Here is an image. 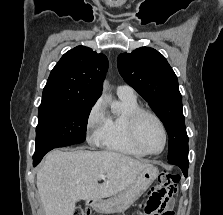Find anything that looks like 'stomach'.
<instances>
[{
  "mask_svg": "<svg viewBox=\"0 0 223 215\" xmlns=\"http://www.w3.org/2000/svg\"><path fill=\"white\" fill-rule=\"evenodd\" d=\"M159 175L158 167H154V165H150V167H145L142 169L140 173H138L136 179H134L132 185L128 187L127 194H120L122 197L119 198L121 200L111 201L108 199V202H96L93 203L94 209L99 211V213H114V211H123V209H127L135 199H138L148 187H150L151 183L157 179ZM125 196V197H124Z\"/></svg>",
  "mask_w": 223,
  "mask_h": 215,
  "instance_id": "obj_1",
  "label": "stomach"
}]
</instances>
